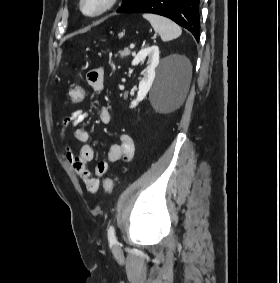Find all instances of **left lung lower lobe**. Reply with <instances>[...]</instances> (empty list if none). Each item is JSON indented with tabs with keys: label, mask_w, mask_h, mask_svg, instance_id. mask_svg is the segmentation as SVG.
Returning a JSON list of instances; mask_svg holds the SVG:
<instances>
[{
	"label": "left lung lower lobe",
	"mask_w": 280,
	"mask_h": 283,
	"mask_svg": "<svg viewBox=\"0 0 280 283\" xmlns=\"http://www.w3.org/2000/svg\"><path fill=\"white\" fill-rule=\"evenodd\" d=\"M199 1L200 0H137L125 13H154L172 19L188 29L199 41Z\"/></svg>",
	"instance_id": "left-lung-lower-lobe-1"
}]
</instances>
